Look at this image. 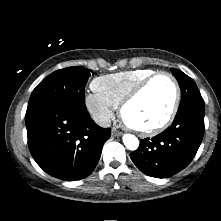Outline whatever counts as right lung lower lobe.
Instances as JSON below:
<instances>
[{"instance_id":"98d812e1","label":"right lung lower lobe","mask_w":221,"mask_h":221,"mask_svg":"<svg viewBox=\"0 0 221 221\" xmlns=\"http://www.w3.org/2000/svg\"><path fill=\"white\" fill-rule=\"evenodd\" d=\"M28 146L36 163L65 181L89 176L111 129L98 126L85 105L53 103L27 110Z\"/></svg>"}]
</instances>
